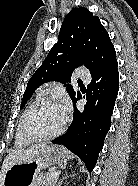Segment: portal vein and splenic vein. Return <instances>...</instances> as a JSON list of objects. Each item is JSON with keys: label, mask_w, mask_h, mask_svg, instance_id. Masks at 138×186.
Returning <instances> with one entry per match:
<instances>
[{"label": "portal vein and splenic vein", "mask_w": 138, "mask_h": 186, "mask_svg": "<svg viewBox=\"0 0 138 186\" xmlns=\"http://www.w3.org/2000/svg\"><path fill=\"white\" fill-rule=\"evenodd\" d=\"M61 174V171H55L53 174H51V179H55L57 177H59V175Z\"/></svg>", "instance_id": "obj_1"}]
</instances>
